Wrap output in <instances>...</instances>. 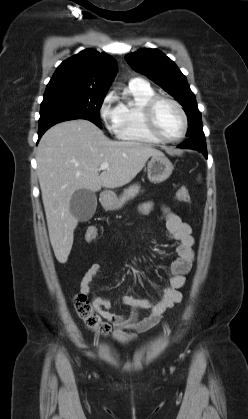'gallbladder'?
<instances>
[{
  "label": "gallbladder",
  "mask_w": 248,
  "mask_h": 419,
  "mask_svg": "<svg viewBox=\"0 0 248 419\" xmlns=\"http://www.w3.org/2000/svg\"><path fill=\"white\" fill-rule=\"evenodd\" d=\"M96 207L97 196L95 192L88 189L77 190L70 200V212L81 222L90 220Z\"/></svg>",
  "instance_id": "gallbladder-1"
}]
</instances>
